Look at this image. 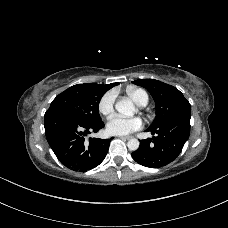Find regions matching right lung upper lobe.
<instances>
[{
    "instance_id": "cb5924a9",
    "label": "right lung upper lobe",
    "mask_w": 228,
    "mask_h": 228,
    "mask_svg": "<svg viewBox=\"0 0 228 228\" xmlns=\"http://www.w3.org/2000/svg\"><path fill=\"white\" fill-rule=\"evenodd\" d=\"M115 85H117V83L106 84V85L102 84V87L105 88L106 90H109L110 88H112Z\"/></svg>"
}]
</instances>
